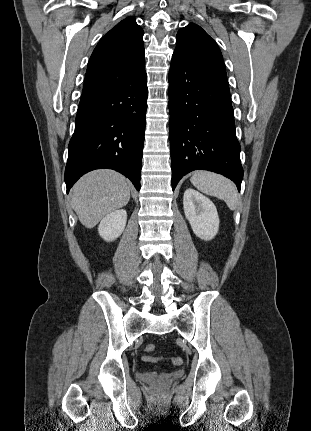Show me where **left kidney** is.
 <instances>
[{"mask_svg":"<svg viewBox=\"0 0 311 431\" xmlns=\"http://www.w3.org/2000/svg\"><path fill=\"white\" fill-rule=\"evenodd\" d=\"M183 206L194 233L201 239H213L219 229V216L213 202L188 188L184 192Z\"/></svg>","mask_w":311,"mask_h":431,"instance_id":"1","label":"left kidney"}]
</instances>
